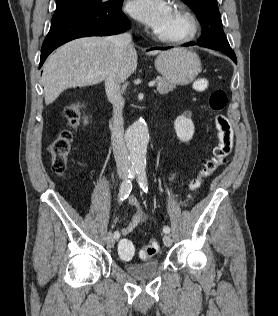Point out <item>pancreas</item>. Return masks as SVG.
Segmentation results:
<instances>
[{
  "mask_svg": "<svg viewBox=\"0 0 278 316\" xmlns=\"http://www.w3.org/2000/svg\"><path fill=\"white\" fill-rule=\"evenodd\" d=\"M155 82L157 84V92L161 95L167 94L175 88V84L168 82L162 77H157Z\"/></svg>",
  "mask_w": 278,
  "mask_h": 316,
  "instance_id": "obj_1",
  "label": "pancreas"
}]
</instances>
